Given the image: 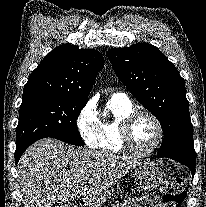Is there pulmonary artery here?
<instances>
[{
	"instance_id": "pulmonary-artery-1",
	"label": "pulmonary artery",
	"mask_w": 206,
	"mask_h": 207,
	"mask_svg": "<svg viewBox=\"0 0 206 207\" xmlns=\"http://www.w3.org/2000/svg\"><path fill=\"white\" fill-rule=\"evenodd\" d=\"M114 96L121 98V99H124V100H128L126 94H124V93H116V94H114Z\"/></svg>"
}]
</instances>
